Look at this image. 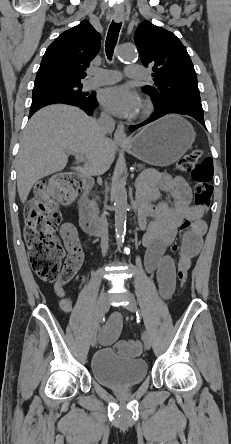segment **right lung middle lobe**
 I'll return each mask as SVG.
<instances>
[{
  "label": "right lung middle lobe",
  "instance_id": "1",
  "mask_svg": "<svg viewBox=\"0 0 231 444\" xmlns=\"http://www.w3.org/2000/svg\"><path fill=\"white\" fill-rule=\"evenodd\" d=\"M81 88V83H58L43 88L33 89L32 101L46 97L88 101L95 97L94 93L90 94L88 92H82Z\"/></svg>",
  "mask_w": 231,
  "mask_h": 444
}]
</instances>
